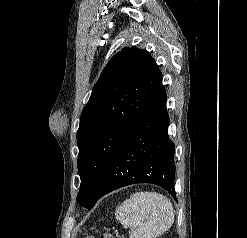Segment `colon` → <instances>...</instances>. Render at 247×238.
<instances>
[{"instance_id": "colon-1", "label": "colon", "mask_w": 247, "mask_h": 238, "mask_svg": "<svg viewBox=\"0 0 247 238\" xmlns=\"http://www.w3.org/2000/svg\"><path fill=\"white\" fill-rule=\"evenodd\" d=\"M87 238H93V237H87ZM98 238H115V237L112 234L103 233Z\"/></svg>"}]
</instances>
